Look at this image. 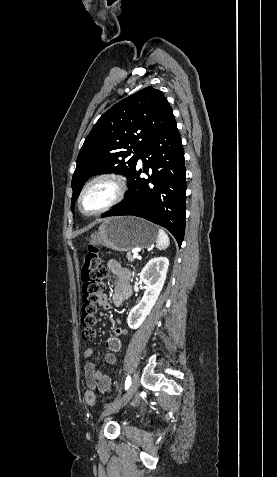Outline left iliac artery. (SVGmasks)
I'll return each mask as SVG.
<instances>
[{
    "instance_id": "left-iliac-artery-1",
    "label": "left iliac artery",
    "mask_w": 277,
    "mask_h": 477,
    "mask_svg": "<svg viewBox=\"0 0 277 477\" xmlns=\"http://www.w3.org/2000/svg\"><path fill=\"white\" fill-rule=\"evenodd\" d=\"M130 384H131V377L127 376L125 381V390H127L130 387Z\"/></svg>"
}]
</instances>
